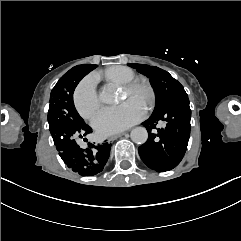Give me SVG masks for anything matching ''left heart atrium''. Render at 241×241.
I'll return each mask as SVG.
<instances>
[{
  "mask_svg": "<svg viewBox=\"0 0 241 241\" xmlns=\"http://www.w3.org/2000/svg\"><path fill=\"white\" fill-rule=\"evenodd\" d=\"M144 118V111L124 108H105L92 118L93 127L102 135L117 134L129 129Z\"/></svg>",
  "mask_w": 241,
  "mask_h": 241,
  "instance_id": "1",
  "label": "left heart atrium"
}]
</instances>
